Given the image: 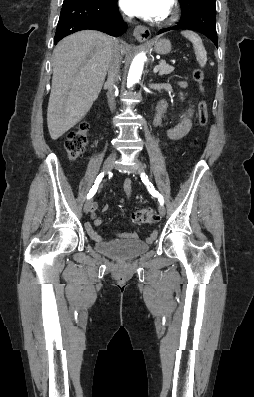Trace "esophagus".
Masks as SVG:
<instances>
[{"label":"esophagus","mask_w":254,"mask_h":397,"mask_svg":"<svg viewBox=\"0 0 254 397\" xmlns=\"http://www.w3.org/2000/svg\"><path fill=\"white\" fill-rule=\"evenodd\" d=\"M133 34L139 42H147L151 36V31L145 26L138 25L135 27Z\"/></svg>","instance_id":"esophagus-1"}]
</instances>
